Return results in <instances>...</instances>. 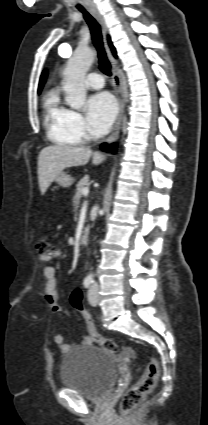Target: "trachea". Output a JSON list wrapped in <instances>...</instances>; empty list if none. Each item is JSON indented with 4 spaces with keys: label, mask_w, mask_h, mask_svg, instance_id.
Wrapping results in <instances>:
<instances>
[{
    "label": "trachea",
    "mask_w": 208,
    "mask_h": 425,
    "mask_svg": "<svg viewBox=\"0 0 208 425\" xmlns=\"http://www.w3.org/2000/svg\"><path fill=\"white\" fill-rule=\"evenodd\" d=\"M79 11L83 13L84 19L89 25L92 40L98 52L99 68L104 74L110 76L111 65L107 59V56L103 47L100 24L84 8H79Z\"/></svg>",
    "instance_id": "obj_1"
}]
</instances>
